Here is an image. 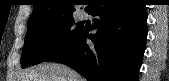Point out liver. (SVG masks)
Instances as JSON below:
<instances>
[{
    "label": "liver",
    "instance_id": "liver-1",
    "mask_svg": "<svg viewBox=\"0 0 169 81\" xmlns=\"http://www.w3.org/2000/svg\"><path fill=\"white\" fill-rule=\"evenodd\" d=\"M19 81H85L70 67L60 63H41L25 70Z\"/></svg>",
    "mask_w": 169,
    "mask_h": 81
}]
</instances>
